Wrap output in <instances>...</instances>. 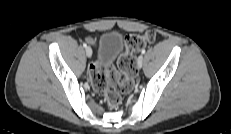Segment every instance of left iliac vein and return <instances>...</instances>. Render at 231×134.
Returning a JSON list of instances; mask_svg holds the SVG:
<instances>
[{"instance_id":"1","label":"left iliac vein","mask_w":231,"mask_h":134,"mask_svg":"<svg viewBox=\"0 0 231 134\" xmlns=\"http://www.w3.org/2000/svg\"><path fill=\"white\" fill-rule=\"evenodd\" d=\"M137 65H138L139 68L142 67V65H143V56H142V55H140V56L138 57Z\"/></svg>"}]
</instances>
